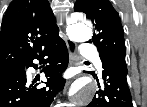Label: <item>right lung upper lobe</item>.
<instances>
[{"label": "right lung upper lobe", "instance_id": "obj_1", "mask_svg": "<svg viewBox=\"0 0 147 107\" xmlns=\"http://www.w3.org/2000/svg\"><path fill=\"white\" fill-rule=\"evenodd\" d=\"M58 32L47 0H13L1 25L0 69L23 66Z\"/></svg>", "mask_w": 147, "mask_h": 107}]
</instances>
